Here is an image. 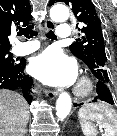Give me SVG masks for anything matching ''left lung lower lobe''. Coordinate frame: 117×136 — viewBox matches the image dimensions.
Wrapping results in <instances>:
<instances>
[{
	"label": "left lung lower lobe",
	"instance_id": "obj_1",
	"mask_svg": "<svg viewBox=\"0 0 117 136\" xmlns=\"http://www.w3.org/2000/svg\"><path fill=\"white\" fill-rule=\"evenodd\" d=\"M97 100L107 102L109 104H113V98L112 94L110 92V85L103 82L102 80H98L97 82V96L93 100V102H96ZM82 104H74V106H79Z\"/></svg>",
	"mask_w": 117,
	"mask_h": 136
}]
</instances>
